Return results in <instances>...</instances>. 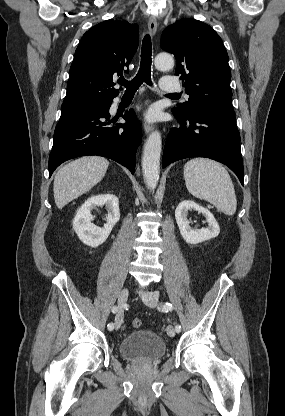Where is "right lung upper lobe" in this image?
I'll list each match as a JSON object with an SVG mask.
<instances>
[{
	"mask_svg": "<svg viewBox=\"0 0 285 416\" xmlns=\"http://www.w3.org/2000/svg\"><path fill=\"white\" fill-rule=\"evenodd\" d=\"M138 43L136 24L110 19L92 27L75 51L63 103L112 102L113 77L128 72Z\"/></svg>",
	"mask_w": 285,
	"mask_h": 416,
	"instance_id": "obj_1",
	"label": "right lung upper lobe"
}]
</instances>
